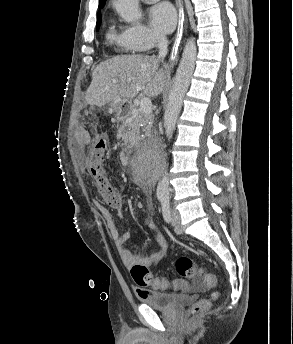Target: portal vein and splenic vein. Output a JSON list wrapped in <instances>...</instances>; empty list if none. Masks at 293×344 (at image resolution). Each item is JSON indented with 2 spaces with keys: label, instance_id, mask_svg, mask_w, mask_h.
Here are the masks:
<instances>
[{
  "label": "portal vein and splenic vein",
  "instance_id": "obj_1",
  "mask_svg": "<svg viewBox=\"0 0 293 344\" xmlns=\"http://www.w3.org/2000/svg\"><path fill=\"white\" fill-rule=\"evenodd\" d=\"M114 83H117L116 80L113 81ZM140 111L147 115V114H150L151 111H152V102L149 98L147 97H144L141 99L140 101Z\"/></svg>",
  "mask_w": 293,
  "mask_h": 344
}]
</instances>
